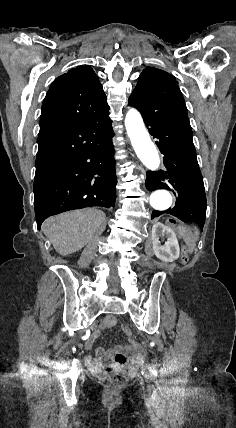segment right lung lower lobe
<instances>
[{"label":"right lung lower lobe","mask_w":236,"mask_h":428,"mask_svg":"<svg viewBox=\"0 0 236 428\" xmlns=\"http://www.w3.org/2000/svg\"><path fill=\"white\" fill-rule=\"evenodd\" d=\"M109 112L39 135L34 179L38 229L49 216L84 207H114L117 184Z\"/></svg>","instance_id":"obj_1"}]
</instances>
